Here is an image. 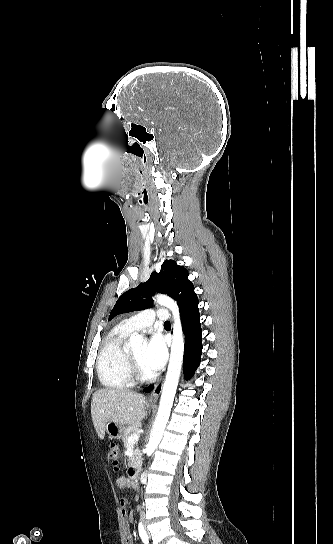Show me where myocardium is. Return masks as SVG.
<instances>
[{
  "mask_svg": "<svg viewBox=\"0 0 333 544\" xmlns=\"http://www.w3.org/2000/svg\"><path fill=\"white\" fill-rule=\"evenodd\" d=\"M128 363L131 375L134 380L143 382L151 378V375L149 373H146L142 370L131 350L128 351Z\"/></svg>",
  "mask_w": 333,
  "mask_h": 544,
  "instance_id": "myocardium-1",
  "label": "myocardium"
}]
</instances>
